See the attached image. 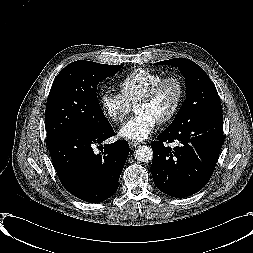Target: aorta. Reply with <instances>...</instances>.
<instances>
[{
    "instance_id": "aorta-1",
    "label": "aorta",
    "mask_w": 253,
    "mask_h": 253,
    "mask_svg": "<svg viewBox=\"0 0 253 253\" xmlns=\"http://www.w3.org/2000/svg\"><path fill=\"white\" fill-rule=\"evenodd\" d=\"M135 158L140 162H149L153 158V151L150 147L143 145L135 150Z\"/></svg>"
}]
</instances>
